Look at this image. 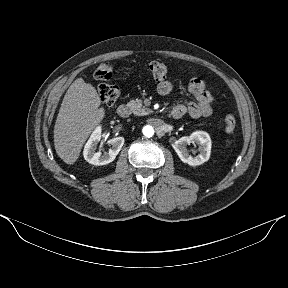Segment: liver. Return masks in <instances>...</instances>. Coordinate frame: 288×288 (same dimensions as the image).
Masks as SVG:
<instances>
[{"label": "liver", "mask_w": 288, "mask_h": 288, "mask_svg": "<svg viewBox=\"0 0 288 288\" xmlns=\"http://www.w3.org/2000/svg\"><path fill=\"white\" fill-rule=\"evenodd\" d=\"M96 89L82 78L68 88L54 126V145L58 156L67 164L78 159L81 149L105 116Z\"/></svg>", "instance_id": "obj_1"}]
</instances>
